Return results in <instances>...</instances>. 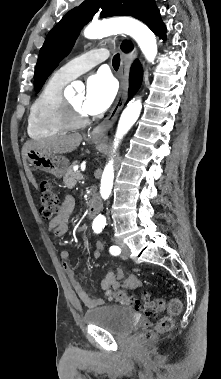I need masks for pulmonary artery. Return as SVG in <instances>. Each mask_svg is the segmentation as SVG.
Wrapping results in <instances>:
<instances>
[{"mask_svg": "<svg viewBox=\"0 0 221 379\" xmlns=\"http://www.w3.org/2000/svg\"><path fill=\"white\" fill-rule=\"evenodd\" d=\"M108 57L106 49H94L88 51L81 56L69 61L60 67L56 74L68 81L90 70L97 64L105 61Z\"/></svg>", "mask_w": 221, "mask_h": 379, "instance_id": "e3ab8cb5", "label": "pulmonary artery"}]
</instances>
